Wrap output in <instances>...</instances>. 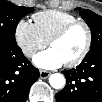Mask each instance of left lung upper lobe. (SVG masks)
Wrapping results in <instances>:
<instances>
[{"label":"left lung upper lobe","mask_w":102,"mask_h":102,"mask_svg":"<svg viewBox=\"0 0 102 102\" xmlns=\"http://www.w3.org/2000/svg\"><path fill=\"white\" fill-rule=\"evenodd\" d=\"M80 10V15L91 29L92 39L90 51L102 48V17L90 10Z\"/></svg>","instance_id":"5c2ea615"}]
</instances>
